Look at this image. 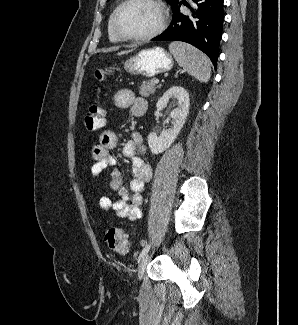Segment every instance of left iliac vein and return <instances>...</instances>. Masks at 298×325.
Here are the masks:
<instances>
[{
  "label": "left iliac vein",
  "mask_w": 298,
  "mask_h": 325,
  "mask_svg": "<svg viewBox=\"0 0 298 325\" xmlns=\"http://www.w3.org/2000/svg\"><path fill=\"white\" fill-rule=\"evenodd\" d=\"M148 255L144 257L138 265V279L141 280L148 264Z\"/></svg>",
  "instance_id": "left-iliac-vein-1"
}]
</instances>
